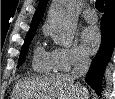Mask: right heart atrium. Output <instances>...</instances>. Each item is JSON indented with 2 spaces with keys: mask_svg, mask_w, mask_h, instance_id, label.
Segmentation results:
<instances>
[{
  "mask_svg": "<svg viewBox=\"0 0 115 99\" xmlns=\"http://www.w3.org/2000/svg\"><path fill=\"white\" fill-rule=\"evenodd\" d=\"M50 55L54 70L60 72H67L88 60L84 49L76 43L66 47H56L50 52Z\"/></svg>",
  "mask_w": 115,
  "mask_h": 99,
  "instance_id": "right-heart-atrium-1",
  "label": "right heart atrium"
}]
</instances>
